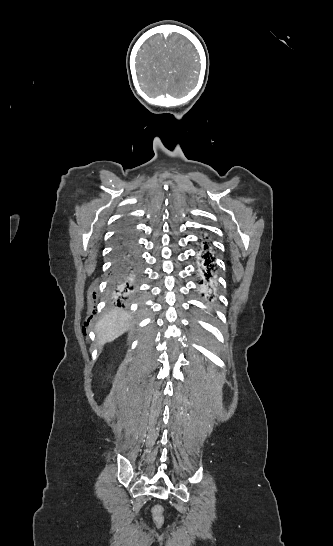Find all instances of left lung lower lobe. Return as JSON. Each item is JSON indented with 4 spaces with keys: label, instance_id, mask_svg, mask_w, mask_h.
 Wrapping results in <instances>:
<instances>
[{
    "label": "left lung lower lobe",
    "instance_id": "1",
    "mask_svg": "<svg viewBox=\"0 0 333 546\" xmlns=\"http://www.w3.org/2000/svg\"><path fill=\"white\" fill-rule=\"evenodd\" d=\"M209 248V244L205 243L204 250H207ZM202 258L204 259L202 262V266L199 267L200 276L202 278V281L200 284L203 286V296L208 297L209 299H213L214 297V285L216 282L215 277V267H214V258L212 257L211 253L209 252H203Z\"/></svg>",
    "mask_w": 333,
    "mask_h": 546
}]
</instances>
